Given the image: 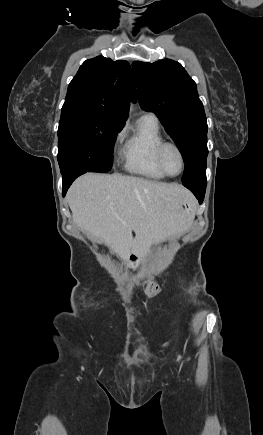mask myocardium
I'll list each match as a JSON object with an SVG mask.
<instances>
[{
    "label": "myocardium",
    "mask_w": 263,
    "mask_h": 435,
    "mask_svg": "<svg viewBox=\"0 0 263 435\" xmlns=\"http://www.w3.org/2000/svg\"><path fill=\"white\" fill-rule=\"evenodd\" d=\"M170 147L174 148L178 152L180 160H181V169H180V171L177 174H171V173H169L166 170L165 166H164L163 155H164L165 150L167 148H170ZM156 163H157L159 169L166 176H168V177H177V176L181 175L184 172V170H185V156H184V153H183L181 147L177 143L172 142V141H163L158 146L157 151H156Z\"/></svg>",
    "instance_id": "obj_1"
}]
</instances>
